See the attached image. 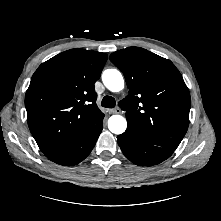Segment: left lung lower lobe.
Returning <instances> with one entry per match:
<instances>
[{
  "label": "left lung lower lobe",
  "mask_w": 221,
  "mask_h": 221,
  "mask_svg": "<svg viewBox=\"0 0 221 221\" xmlns=\"http://www.w3.org/2000/svg\"><path fill=\"white\" fill-rule=\"evenodd\" d=\"M117 140L123 154L139 166L159 164L174 152L148 142L130 125L123 134L117 137Z\"/></svg>",
  "instance_id": "0a47b994"
}]
</instances>
